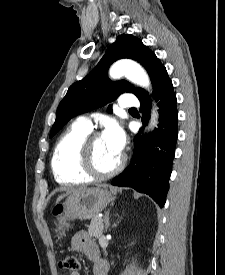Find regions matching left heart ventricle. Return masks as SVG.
<instances>
[{
  "mask_svg": "<svg viewBox=\"0 0 225 275\" xmlns=\"http://www.w3.org/2000/svg\"><path fill=\"white\" fill-rule=\"evenodd\" d=\"M92 152L94 166L100 172L111 171L118 164L121 157L109 149L102 137L93 141Z\"/></svg>",
  "mask_w": 225,
  "mask_h": 275,
  "instance_id": "obj_1",
  "label": "left heart ventricle"
}]
</instances>
